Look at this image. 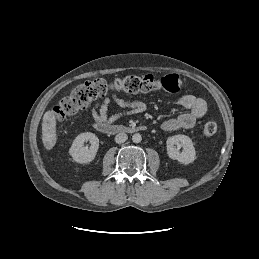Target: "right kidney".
Returning a JSON list of instances; mask_svg holds the SVG:
<instances>
[{
	"label": "right kidney",
	"instance_id": "right-kidney-1",
	"mask_svg": "<svg viewBox=\"0 0 259 259\" xmlns=\"http://www.w3.org/2000/svg\"><path fill=\"white\" fill-rule=\"evenodd\" d=\"M89 141L90 147H84V143ZM99 149L98 137L91 133L85 132L79 134L73 141L69 149V154L72 159L80 164H87L94 160Z\"/></svg>",
	"mask_w": 259,
	"mask_h": 259
}]
</instances>
